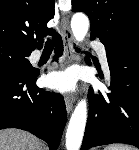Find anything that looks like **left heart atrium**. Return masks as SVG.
<instances>
[{
	"mask_svg": "<svg viewBox=\"0 0 139 150\" xmlns=\"http://www.w3.org/2000/svg\"><path fill=\"white\" fill-rule=\"evenodd\" d=\"M46 83L53 89L68 92L75 87L76 74L72 71L54 72L48 75Z\"/></svg>",
	"mask_w": 139,
	"mask_h": 150,
	"instance_id": "obj_1",
	"label": "left heart atrium"
}]
</instances>
